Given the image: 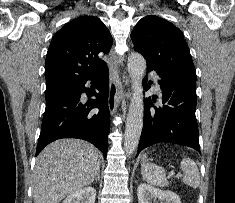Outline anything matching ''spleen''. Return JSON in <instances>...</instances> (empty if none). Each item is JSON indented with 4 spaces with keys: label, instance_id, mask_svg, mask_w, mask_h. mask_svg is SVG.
<instances>
[{
    "label": "spleen",
    "instance_id": "spleen-1",
    "mask_svg": "<svg viewBox=\"0 0 235 203\" xmlns=\"http://www.w3.org/2000/svg\"><path fill=\"white\" fill-rule=\"evenodd\" d=\"M180 168L184 173L182 181L192 187L197 188L200 185V174L196 163L191 158H183ZM141 173L143 178L150 184L158 187L168 185V180L164 168L149 164L146 155L142 159Z\"/></svg>",
    "mask_w": 235,
    "mask_h": 203
}]
</instances>
